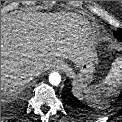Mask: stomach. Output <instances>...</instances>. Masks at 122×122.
I'll return each instance as SVG.
<instances>
[{
    "label": "stomach",
    "instance_id": "1",
    "mask_svg": "<svg viewBox=\"0 0 122 122\" xmlns=\"http://www.w3.org/2000/svg\"><path fill=\"white\" fill-rule=\"evenodd\" d=\"M97 62V55L93 50L87 53L85 58L79 64H77L79 73L75 77L73 84L78 83L80 85H87V83L90 82L93 77Z\"/></svg>",
    "mask_w": 122,
    "mask_h": 122
}]
</instances>
